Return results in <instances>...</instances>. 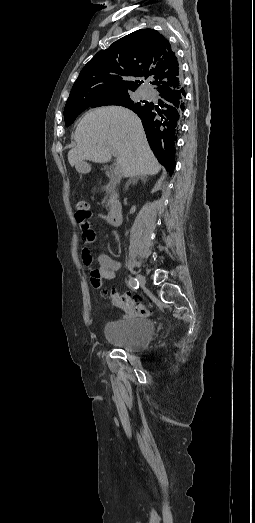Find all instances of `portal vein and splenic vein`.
<instances>
[{"label": "portal vein and splenic vein", "mask_w": 255, "mask_h": 523, "mask_svg": "<svg viewBox=\"0 0 255 523\" xmlns=\"http://www.w3.org/2000/svg\"><path fill=\"white\" fill-rule=\"evenodd\" d=\"M113 154H114V152H113ZM114 156H115V154H114ZM112 167H113L112 173H113L114 175L119 174V170H120L119 164H118L117 162H114V163L112 164Z\"/></svg>", "instance_id": "obj_1"}]
</instances>
